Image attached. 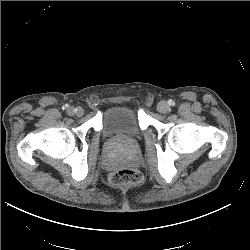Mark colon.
<instances>
[{
  "label": "colon",
  "instance_id": "5ec220e1",
  "mask_svg": "<svg viewBox=\"0 0 250 250\" xmlns=\"http://www.w3.org/2000/svg\"><path fill=\"white\" fill-rule=\"evenodd\" d=\"M141 180V173L129 168L115 169L109 174V181L114 186L134 185L140 183Z\"/></svg>",
  "mask_w": 250,
  "mask_h": 250
}]
</instances>
